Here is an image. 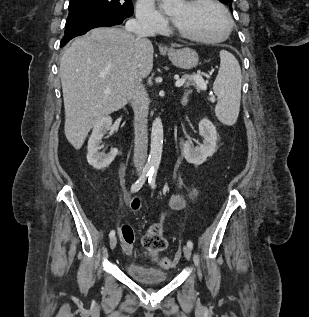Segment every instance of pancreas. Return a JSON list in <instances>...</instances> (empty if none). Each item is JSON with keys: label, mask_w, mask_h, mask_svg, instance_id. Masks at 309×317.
<instances>
[{"label": "pancreas", "mask_w": 309, "mask_h": 317, "mask_svg": "<svg viewBox=\"0 0 309 317\" xmlns=\"http://www.w3.org/2000/svg\"><path fill=\"white\" fill-rule=\"evenodd\" d=\"M193 76L194 75H184L183 78L186 80L185 81V84H184V87H189V86H194L196 87L197 91H199L201 88L200 86L194 81L193 79Z\"/></svg>", "instance_id": "obj_1"}]
</instances>
